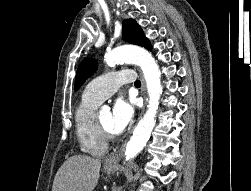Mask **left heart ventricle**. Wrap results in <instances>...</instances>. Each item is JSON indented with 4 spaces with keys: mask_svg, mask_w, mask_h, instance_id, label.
Segmentation results:
<instances>
[{
    "mask_svg": "<svg viewBox=\"0 0 251 191\" xmlns=\"http://www.w3.org/2000/svg\"><path fill=\"white\" fill-rule=\"evenodd\" d=\"M99 120L103 126L110 131V114L108 112L101 114Z\"/></svg>",
    "mask_w": 251,
    "mask_h": 191,
    "instance_id": "left-heart-ventricle-1",
    "label": "left heart ventricle"
}]
</instances>
